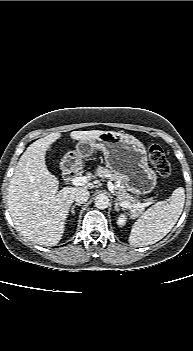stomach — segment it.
Returning a JSON list of instances; mask_svg holds the SVG:
<instances>
[{
  "mask_svg": "<svg viewBox=\"0 0 193 351\" xmlns=\"http://www.w3.org/2000/svg\"><path fill=\"white\" fill-rule=\"evenodd\" d=\"M96 148L103 152L106 166L124 177L130 192L146 195L154 190L158 176L148 164L146 148L140 140L127 133L106 131L95 139L79 141L76 150L68 152L62 162L80 163Z\"/></svg>",
  "mask_w": 193,
  "mask_h": 351,
  "instance_id": "1",
  "label": "stomach"
}]
</instances>
